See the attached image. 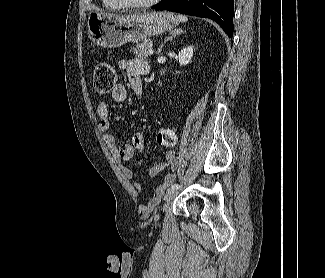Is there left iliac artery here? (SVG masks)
I'll return each mask as SVG.
<instances>
[{"label": "left iliac artery", "instance_id": "44dca946", "mask_svg": "<svg viewBox=\"0 0 325 278\" xmlns=\"http://www.w3.org/2000/svg\"><path fill=\"white\" fill-rule=\"evenodd\" d=\"M181 186L179 184H174L171 186V189H179Z\"/></svg>", "mask_w": 325, "mask_h": 278}]
</instances>
